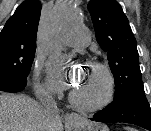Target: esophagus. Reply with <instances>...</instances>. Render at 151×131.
<instances>
[{
	"mask_svg": "<svg viewBox=\"0 0 151 131\" xmlns=\"http://www.w3.org/2000/svg\"><path fill=\"white\" fill-rule=\"evenodd\" d=\"M81 120V116L77 113H69L65 115V121L69 124H76Z\"/></svg>",
	"mask_w": 151,
	"mask_h": 131,
	"instance_id": "esophagus-1",
	"label": "esophagus"
}]
</instances>
